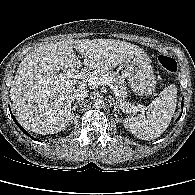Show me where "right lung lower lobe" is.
<instances>
[{
  "instance_id": "obj_1",
  "label": "right lung lower lobe",
  "mask_w": 195,
  "mask_h": 195,
  "mask_svg": "<svg viewBox=\"0 0 195 195\" xmlns=\"http://www.w3.org/2000/svg\"><path fill=\"white\" fill-rule=\"evenodd\" d=\"M10 113H11V111H10ZM12 117H13V120H14V122L18 125V127L26 134V135H28V136H30L18 123H17V121H16V119H15V117L12 115ZM30 138L31 139H33V140H36L35 138H33V137H31L30 136Z\"/></svg>"
}]
</instances>
